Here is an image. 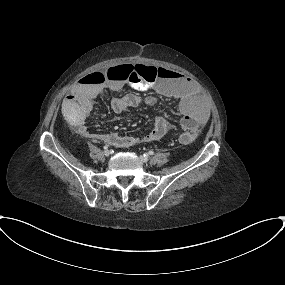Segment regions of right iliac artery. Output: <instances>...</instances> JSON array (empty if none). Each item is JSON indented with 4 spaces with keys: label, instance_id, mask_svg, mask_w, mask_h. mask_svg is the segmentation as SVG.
<instances>
[{
    "label": "right iliac artery",
    "instance_id": "right-iliac-artery-1",
    "mask_svg": "<svg viewBox=\"0 0 285 285\" xmlns=\"http://www.w3.org/2000/svg\"><path fill=\"white\" fill-rule=\"evenodd\" d=\"M103 149H104V150H107V149H108V146H107V145L103 146Z\"/></svg>",
    "mask_w": 285,
    "mask_h": 285
}]
</instances>
